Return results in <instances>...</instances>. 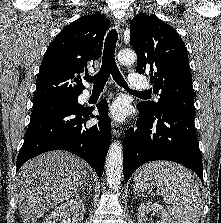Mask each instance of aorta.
<instances>
[{"instance_id":"obj_1","label":"aorta","mask_w":221,"mask_h":223,"mask_svg":"<svg viewBox=\"0 0 221 223\" xmlns=\"http://www.w3.org/2000/svg\"><path fill=\"white\" fill-rule=\"evenodd\" d=\"M137 57L132 50H121L118 53V61L124 65L134 64ZM123 154L119 141H114L109 148L106 159V180L109 188L118 191L122 181Z\"/></svg>"}]
</instances>
